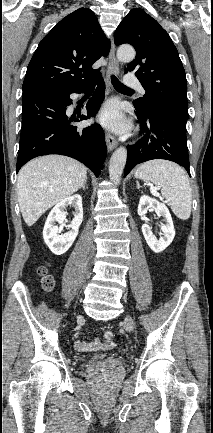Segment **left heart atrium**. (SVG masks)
<instances>
[{"mask_svg":"<svg viewBox=\"0 0 213 433\" xmlns=\"http://www.w3.org/2000/svg\"><path fill=\"white\" fill-rule=\"evenodd\" d=\"M99 121L104 126L116 132H123L127 128V123L115 103H109L104 106L99 114Z\"/></svg>","mask_w":213,"mask_h":433,"instance_id":"left-heart-atrium-1","label":"left heart atrium"}]
</instances>
